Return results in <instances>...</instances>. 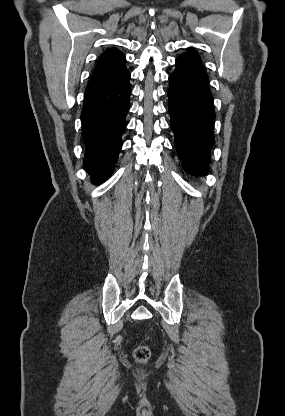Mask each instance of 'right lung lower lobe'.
<instances>
[{"label": "right lung lower lobe", "instance_id": "right-lung-lower-lobe-1", "mask_svg": "<svg viewBox=\"0 0 285 416\" xmlns=\"http://www.w3.org/2000/svg\"><path fill=\"white\" fill-rule=\"evenodd\" d=\"M129 80L127 71L109 84L85 91L81 113L86 145L84 167L93 181L103 182L110 177L117 161L129 109Z\"/></svg>", "mask_w": 285, "mask_h": 416}]
</instances>
